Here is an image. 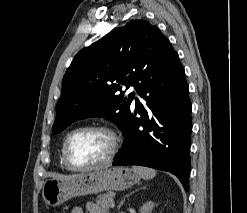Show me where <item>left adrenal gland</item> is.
<instances>
[{
	"label": "left adrenal gland",
	"instance_id": "obj_1",
	"mask_svg": "<svg viewBox=\"0 0 247 213\" xmlns=\"http://www.w3.org/2000/svg\"><path fill=\"white\" fill-rule=\"evenodd\" d=\"M143 188H145V187H143ZM143 188H139V189H137V190L131 192L130 194L126 195V196L123 198V200L120 202V204L118 205V209H120L121 206L124 204L125 198H126V197H129V196L132 195L134 192H137V191H139L140 189H143Z\"/></svg>",
	"mask_w": 247,
	"mask_h": 213
}]
</instances>
